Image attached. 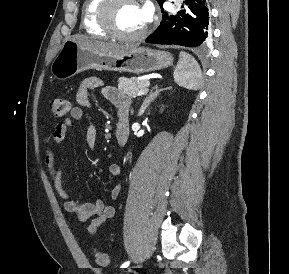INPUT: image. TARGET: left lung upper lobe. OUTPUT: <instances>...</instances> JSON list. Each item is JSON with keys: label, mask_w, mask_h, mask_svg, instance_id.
<instances>
[{"label": "left lung upper lobe", "mask_w": 289, "mask_h": 274, "mask_svg": "<svg viewBox=\"0 0 289 274\" xmlns=\"http://www.w3.org/2000/svg\"><path fill=\"white\" fill-rule=\"evenodd\" d=\"M159 4H161V2L163 1V0H156Z\"/></svg>", "instance_id": "1"}]
</instances>
